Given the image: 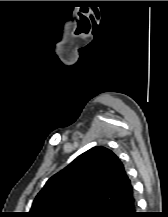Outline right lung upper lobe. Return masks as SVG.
Masks as SVG:
<instances>
[{
  "mask_svg": "<svg viewBox=\"0 0 168 217\" xmlns=\"http://www.w3.org/2000/svg\"><path fill=\"white\" fill-rule=\"evenodd\" d=\"M133 193L119 158L105 147H94L46 182L27 216L100 217Z\"/></svg>",
  "mask_w": 168,
  "mask_h": 217,
  "instance_id": "obj_1",
  "label": "right lung upper lobe"
}]
</instances>
